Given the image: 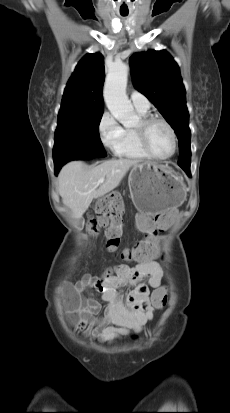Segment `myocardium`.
<instances>
[{"instance_id":"myocardium-1","label":"myocardium","mask_w":230,"mask_h":413,"mask_svg":"<svg viewBox=\"0 0 230 413\" xmlns=\"http://www.w3.org/2000/svg\"><path fill=\"white\" fill-rule=\"evenodd\" d=\"M153 122H161L163 123L169 130L171 137H172V150L171 152L166 155V156H159L157 154H155L147 141V129L148 127L153 123ZM140 146L142 147L143 151L150 157L156 160H168L170 158H172L176 151H177V147H178V140H177V134L176 131L174 129V127L172 126V124L166 120L163 117L157 116V115H151V116H147L144 117L140 120L138 126L135 128Z\"/></svg>"}]
</instances>
